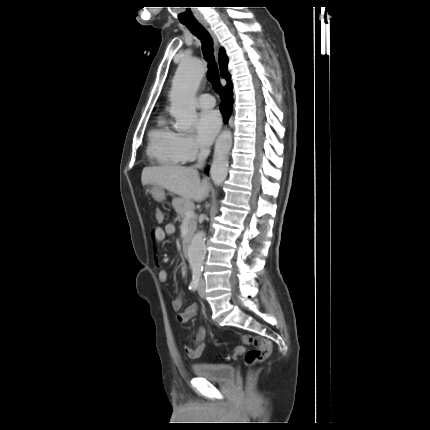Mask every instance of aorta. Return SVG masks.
Returning <instances> with one entry per match:
<instances>
[{"mask_svg": "<svg viewBox=\"0 0 430 430\" xmlns=\"http://www.w3.org/2000/svg\"><path fill=\"white\" fill-rule=\"evenodd\" d=\"M205 71V64L199 59H184L177 68L169 99L170 114L175 118V128L178 131H190L197 118L195 97ZM231 147L232 133L224 130L216 140L210 168V177L215 185H222L226 180ZM205 240V232L198 231L189 246L188 262L193 273H200L202 270L206 255Z\"/></svg>", "mask_w": 430, "mask_h": 430, "instance_id": "obj_1", "label": "aorta"}]
</instances>
